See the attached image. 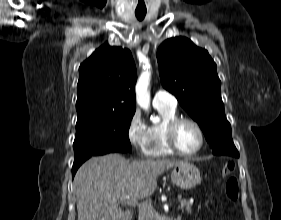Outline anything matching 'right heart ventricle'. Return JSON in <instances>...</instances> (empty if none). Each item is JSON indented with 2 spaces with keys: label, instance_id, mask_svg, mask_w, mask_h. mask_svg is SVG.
<instances>
[{
  "label": "right heart ventricle",
  "instance_id": "e07e8e85",
  "mask_svg": "<svg viewBox=\"0 0 281 220\" xmlns=\"http://www.w3.org/2000/svg\"><path fill=\"white\" fill-rule=\"evenodd\" d=\"M161 115V122L148 127V142L144 153L150 157H165L173 155L174 152L168 147L165 139V128L167 123L177 117L175 108L156 107Z\"/></svg>",
  "mask_w": 281,
  "mask_h": 220
}]
</instances>
